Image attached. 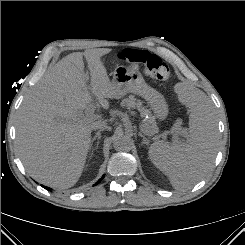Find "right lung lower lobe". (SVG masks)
Wrapping results in <instances>:
<instances>
[{
  "mask_svg": "<svg viewBox=\"0 0 245 245\" xmlns=\"http://www.w3.org/2000/svg\"><path fill=\"white\" fill-rule=\"evenodd\" d=\"M103 178H104V176H103L101 179H103ZM101 179H100V180H101ZM98 183H99V181H98L96 184H98ZM96 184H95V185H96ZM45 188H46L47 190H51V188H49V187H46V186H45Z\"/></svg>",
  "mask_w": 245,
  "mask_h": 245,
  "instance_id": "obj_1",
  "label": "right lung lower lobe"
}]
</instances>
